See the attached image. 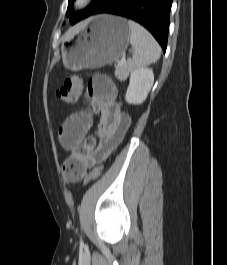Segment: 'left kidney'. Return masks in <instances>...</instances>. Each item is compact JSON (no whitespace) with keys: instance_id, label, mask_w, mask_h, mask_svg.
Returning <instances> with one entry per match:
<instances>
[{"instance_id":"obj_1","label":"left kidney","mask_w":227,"mask_h":265,"mask_svg":"<svg viewBox=\"0 0 227 265\" xmlns=\"http://www.w3.org/2000/svg\"><path fill=\"white\" fill-rule=\"evenodd\" d=\"M154 74L149 68H136L131 71L129 86L126 91L125 99L129 104H141L153 85Z\"/></svg>"}]
</instances>
